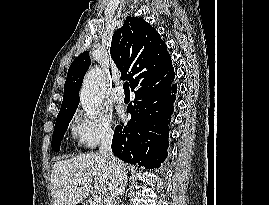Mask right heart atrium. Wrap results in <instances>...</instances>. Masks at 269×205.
I'll return each instance as SVG.
<instances>
[{
  "label": "right heart atrium",
  "instance_id": "d8ad5b80",
  "mask_svg": "<svg viewBox=\"0 0 269 205\" xmlns=\"http://www.w3.org/2000/svg\"><path fill=\"white\" fill-rule=\"evenodd\" d=\"M71 133L78 146L93 149L100 143L111 141L112 121L104 113L89 116L80 111L71 120Z\"/></svg>",
  "mask_w": 269,
  "mask_h": 205
}]
</instances>
